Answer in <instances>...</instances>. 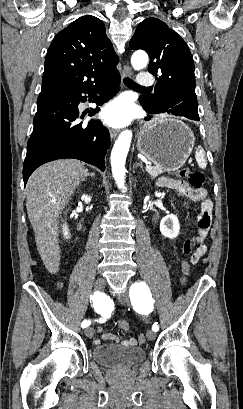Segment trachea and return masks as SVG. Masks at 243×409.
<instances>
[{
    "label": "trachea",
    "instance_id": "3493384b",
    "mask_svg": "<svg viewBox=\"0 0 243 409\" xmlns=\"http://www.w3.org/2000/svg\"><path fill=\"white\" fill-rule=\"evenodd\" d=\"M124 84L128 87L135 88V89H148V88L139 86L137 83H135L133 80L129 78L124 79Z\"/></svg>",
    "mask_w": 243,
    "mask_h": 409
}]
</instances>
